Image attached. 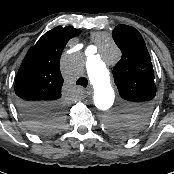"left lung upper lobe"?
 Masks as SVG:
<instances>
[{"label": "left lung upper lobe", "instance_id": "obj_1", "mask_svg": "<svg viewBox=\"0 0 174 174\" xmlns=\"http://www.w3.org/2000/svg\"><path fill=\"white\" fill-rule=\"evenodd\" d=\"M121 49V60L113 74L122 98L130 101L127 117L111 123V132L120 138L135 135L148 122L154 108L156 86L150 55L141 34L133 27L120 24L112 33Z\"/></svg>", "mask_w": 174, "mask_h": 174}]
</instances>
